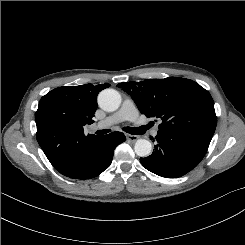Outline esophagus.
<instances>
[{
    "instance_id": "obj_1",
    "label": "esophagus",
    "mask_w": 245,
    "mask_h": 245,
    "mask_svg": "<svg viewBox=\"0 0 245 245\" xmlns=\"http://www.w3.org/2000/svg\"><path fill=\"white\" fill-rule=\"evenodd\" d=\"M138 138L139 136L137 135L126 134V139L130 142H135Z\"/></svg>"
}]
</instances>
